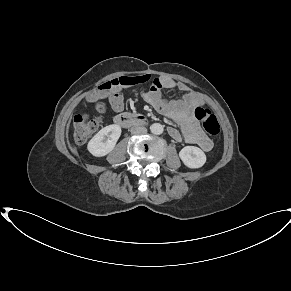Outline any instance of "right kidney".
Wrapping results in <instances>:
<instances>
[{
  "label": "right kidney",
  "instance_id": "ca27d5eb",
  "mask_svg": "<svg viewBox=\"0 0 291 291\" xmlns=\"http://www.w3.org/2000/svg\"><path fill=\"white\" fill-rule=\"evenodd\" d=\"M121 135V127L112 124L102 128L88 142L87 149L95 157H103L110 153Z\"/></svg>",
  "mask_w": 291,
  "mask_h": 291
}]
</instances>
